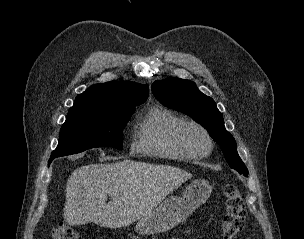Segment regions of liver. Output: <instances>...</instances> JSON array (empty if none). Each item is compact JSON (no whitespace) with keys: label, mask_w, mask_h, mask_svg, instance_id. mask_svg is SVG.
<instances>
[{"label":"liver","mask_w":304,"mask_h":239,"mask_svg":"<svg viewBox=\"0 0 304 239\" xmlns=\"http://www.w3.org/2000/svg\"><path fill=\"white\" fill-rule=\"evenodd\" d=\"M190 178L192 174L173 166L132 160L81 166L67 180L63 217L72 226H128Z\"/></svg>","instance_id":"liver-1"}]
</instances>
